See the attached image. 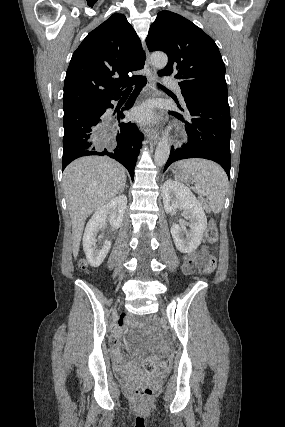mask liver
<instances>
[{
  "label": "liver",
  "instance_id": "liver-1",
  "mask_svg": "<svg viewBox=\"0 0 285 427\" xmlns=\"http://www.w3.org/2000/svg\"><path fill=\"white\" fill-rule=\"evenodd\" d=\"M126 182L125 168L109 157L87 156L63 172V189L72 222V250L78 256L86 219L115 198Z\"/></svg>",
  "mask_w": 285,
  "mask_h": 427
}]
</instances>
